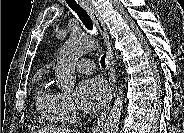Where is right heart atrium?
I'll list each match as a JSON object with an SVG mask.
<instances>
[{
    "mask_svg": "<svg viewBox=\"0 0 184 133\" xmlns=\"http://www.w3.org/2000/svg\"><path fill=\"white\" fill-rule=\"evenodd\" d=\"M59 111L63 121H69L75 118L76 108L71 97L67 94H60Z\"/></svg>",
    "mask_w": 184,
    "mask_h": 133,
    "instance_id": "d8ad5b80",
    "label": "right heart atrium"
}]
</instances>
